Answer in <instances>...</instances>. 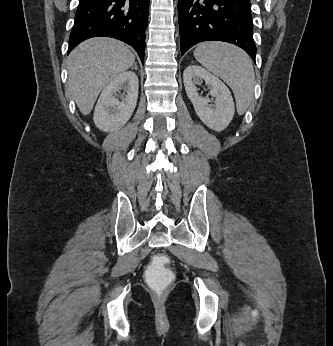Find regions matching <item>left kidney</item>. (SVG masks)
I'll list each match as a JSON object with an SVG mask.
<instances>
[{"label": "left kidney", "instance_id": "obj_1", "mask_svg": "<svg viewBox=\"0 0 333 346\" xmlns=\"http://www.w3.org/2000/svg\"><path fill=\"white\" fill-rule=\"evenodd\" d=\"M184 86L188 98L200 120L210 129L223 131L234 117L235 107L228 87L217 77L198 65L188 66L183 73ZM202 81L215 97V106L208 105L209 99L199 96L196 85Z\"/></svg>", "mask_w": 333, "mask_h": 346}]
</instances>
